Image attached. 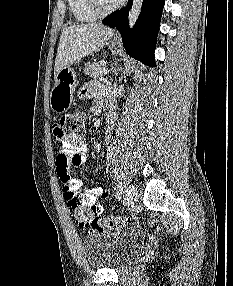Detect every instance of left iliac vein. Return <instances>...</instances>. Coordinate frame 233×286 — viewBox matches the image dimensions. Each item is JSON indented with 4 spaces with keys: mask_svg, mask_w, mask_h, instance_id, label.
<instances>
[{
    "mask_svg": "<svg viewBox=\"0 0 233 286\" xmlns=\"http://www.w3.org/2000/svg\"><path fill=\"white\" fill-rule=\"evenodd\" d=\"M124 199L126 205L133 208L137 201V190L134 185L130 184L125 188Z\"/></svg>",
    "mask_w": 233,
    "mask_h": 286,
    "instance_id": "left-iliac-vein-1",
    "label": "left iliac vein"
}]
</instances>
